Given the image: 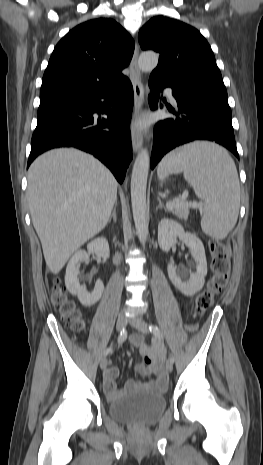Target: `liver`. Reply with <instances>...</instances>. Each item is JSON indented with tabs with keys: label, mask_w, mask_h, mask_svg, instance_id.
<instances>
[{
	"label": "liver",
	"mask_w": 263,
	"mask_h": 465,
	"mask_svg": "<svg viewBox=\"0 0 263 465\" xmlns=\"http://www.w3.org/2000/svg\"><path fill=\"white\" fill-rule=\"evenodd\" d=\"M27 179L33 226L47 267L58 274L70 256L106 226L118 183L100 161L73 148L39 156Z\"/></svg>",
	"instance_id": "obj_1"
}]
</instances>
